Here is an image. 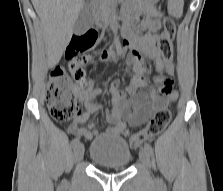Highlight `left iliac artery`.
Returning a JSON list of instances; mask_svg holds the SVG:
<instances>
[{
  "label": "left iliac artery",
  "instance_id": "1",
  "mask_svg": "<svg viewBox=\"0 0 223 191\" xmlns=\"http://www.w3.org/2000/svg\"><path fill=\"white\" fill-rule=\"evenodd\" d=\"M144 148L147 150V152L152 155L153 154V149L152 146L149 143H145ZM160 184L163 185L162 180L160 179Z\"/></svg>",
  "mask_w": 223,
  "mask_h": 191
}]
</instances>
